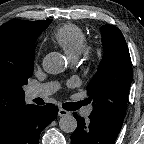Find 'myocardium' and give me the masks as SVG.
Instances as JSON below:
<instances>
[{"label":"myocardium","mask_w":144,"mask_h":144,"mask_svg":"<svg viewBox=\"0 0 144 144\" xmlns=\"http://www.w3.org/2000/svg\"><path fill=\"white\" fill-rule=\"evenodd\" d=\"M95 47L92 45H86L84 46L83 50H82V54L84 56L85 59L87 60H91L95 57Z\"/></svg>","instance_id":"f54148a6"}]
</instances>
